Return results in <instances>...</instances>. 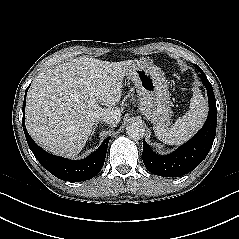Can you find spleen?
Here are the masks:
<instances>
[{
    "label": "spleen",
    "mask_w": 239,
    "mask_h": 239,
    "mask_svg": "<svg viewBox=\"0 0 239 239\" xmlns=\"http://www.w3.org/2000/svg\"><path fill=\"white\" fill-rule=\"evenodd\" d=\"M189 108L170 128L154 126L156 137L169 145H181L189 140L202 127L207 117V103L199 90L194 91Z\"/></svg>",
    "instance_id": "3e777b00"
}]
</instances>
